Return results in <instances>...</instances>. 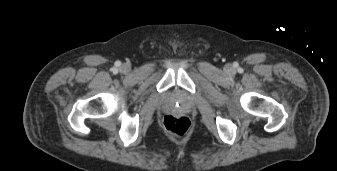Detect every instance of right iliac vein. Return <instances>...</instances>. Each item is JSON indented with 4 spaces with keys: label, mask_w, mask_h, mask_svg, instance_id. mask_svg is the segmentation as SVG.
<instances>
[{
    "label": "right iliac vein",
    "mask_w": 337,
    "mask_h": 171,
    "mask_svg": "<svg viewBox=\"0 0 337 171\" xmlns=\"http://www.w3.org/2000/svg\"><path fill=\"white\" fill-rule=\"evenodd\" d=\"M120 71L123 72V73H128V72L130 71L129 65L123 64V65L120 67Z\"/></svg>",
    "instance_id": "1"
}]
</instances>
